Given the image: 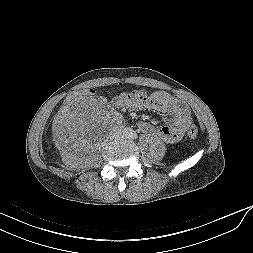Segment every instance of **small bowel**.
<instances>
[{"label": "small bowel", "mask_w": 253, "mask_h": 253, "mask_svg": "<svg viewBox=\"0 0 253 253\" xmlns=\"http://www.w3.org/2000/svg\"><path fill=\"white\" fill-rule=\"evenodd\" d=\"M113 104L116 107H127L132 110L152 109L170 116L171 120L157 130L147 122L139 124L141 131L145 133L154 132L167 143H175L181 140L192 119L187 104L165 91L152 93L144 91L125 92L117 95Z\"/></svg>", "instance_id": "obj_1"}]
</instances>
